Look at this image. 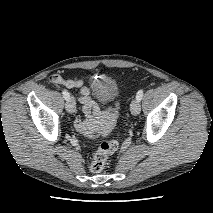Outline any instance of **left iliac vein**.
<instances>
[{
  "label": "left iliac vein",
  "mask_w": 213,
  "mask_h": 213,
  "mask_svg": "<svg viewBox=\"0 0 213 213\" xmlns=\"http://www.w3.org/2000/svg\"><path fill=\"white\" fill-rule=\"evenodd\" d=\"M130 110L133 115H138L141 110L140 101L136 98L130 104Z\"/></svg>",
  "instance_id": "obj_1"
}]
</instances>
